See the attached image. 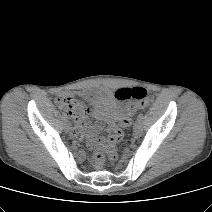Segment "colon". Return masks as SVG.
<instances>
[{
    "instance_id": "5ec220e1",
    "label": "colon",
    "mask_w": 212,
    "mask_h": 212,
    "mask_svg": "<svg viewBox=\"0 0 212 212\" xmlns=\"http://www.w3.org/2000/svg\"><path fill=\"white\" fill-rule=\"evenodd\" d=\"M115 98L120 101L132 100L141 106H145L149 103L147 90L140 86L121 88L116 91ZM58 103L62 113L73 119L81 118L87 113V108L72 96H62L58 99ZM122 138V131L116 128L103 148L104 153H98L96 155V162L98 165L102 164L105 159L116 161L118 144Z\"/></svg>"
}]
</instances>
